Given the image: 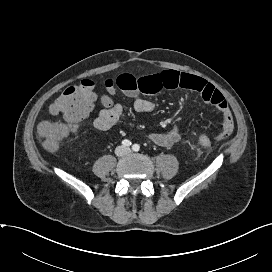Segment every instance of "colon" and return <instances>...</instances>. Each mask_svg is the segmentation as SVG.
I'll use <instances>...</instances> for the list:
<instances>
[{
	"label": "colon",
	"mask_w": 272,
	"mask_h": 272,
	"mask_svg": "<svg viewBox=\"0 0 272 272\" xmlns=\"http://www.w3.org/2000/svg\"><path fill=\"white\" fill-rule=\"evenodd\" d=\"M106 94L101 102L104 106L112 103L111 96L115 91V83L109 79L105 82ZM97 94L91 79H82L78 84L69 86L56 98L50 107L51 113L63 117V121L45 120L38 126V135L43 139V145L48 151L57 150L74 130L75 124L85 118L91 111ZM201 148H208L212 141L206 135L198 138Z\"/></svg>",
	"instance_id": "colon-1"
}]
</instances>
